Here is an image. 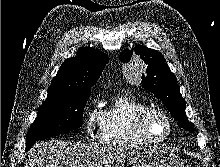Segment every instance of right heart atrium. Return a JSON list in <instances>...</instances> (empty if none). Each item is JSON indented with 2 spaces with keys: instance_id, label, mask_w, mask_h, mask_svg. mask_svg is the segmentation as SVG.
I'll return each mask as SVG.
<instances>
[{
  "instance_id": "right-heart-atrium-1",
  "label": "right heart atrium",
  "mask_w": 220,
  "mask_h": 167,
  "mask_svg": "<svg viewBox=\"0 0 220 167\" xmlns=\"http://www.w3.org/2000/svg\"><path fill=\"white\" fill-rule=\"evenodd\" d=\"M102 121V111L98 108L96 102L92 103V106L87 112L85 119V131L88 135H93L100 130Z\"/></svg>"
}]
</instances>
